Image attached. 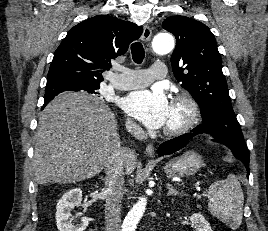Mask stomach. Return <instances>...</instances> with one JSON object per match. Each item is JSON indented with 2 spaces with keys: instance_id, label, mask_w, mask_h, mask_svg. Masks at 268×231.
Wrapping results in <instances>:
<instances>
[{
  "instance_id": "obj_1",
  "label": "stomach",
  "mask_w": 268,
  "mask_h": 231,
  "mask_svg": "<svg viewBox=\"0 0 268 231\" xmlns=\"http://www.w3.org/2000/svg\"><path fill=\"white\" fill-rule=\"evenodd\" d=\"M202 166V157L194 151H188L184 155L167 162L164 171L169 177L191 176L197 173Z\"/></svg>"
}]
</instances>
